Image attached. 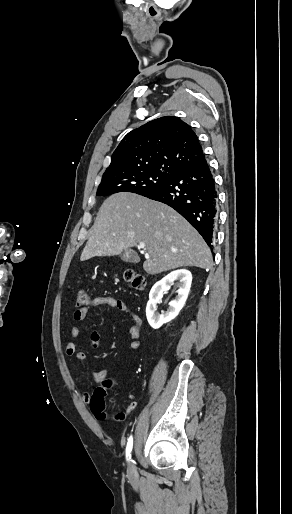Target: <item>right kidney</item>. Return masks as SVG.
Segmentation results:
<instances>
[{"label": "right kidney", "instance_id": "right-kidney-1", "mask_svg": "<svg viewBox=\"0 0 292 514\" xmlns=\"http://www.w3.org/2000/svg\"><path fill=\"white\" fill-rule=\"evenodd\" d=\"M173 282H177L179 288V290H177L178 296H176L175 300L169 302L167 312H163L162 310V314H159L156 306L157 304H161L163 292L170 290L171 286H173ZM191 284L192 274L189 270H175V272H171V274L165 276L163 280L154 284L152 290H150L149 302L146 308L147 320L154 330H158L163 324L171 322V320H174V318L178 316L188 298Z\"/></svg>", "mask_w": 292, "mask_h": 514}]
</instances>
